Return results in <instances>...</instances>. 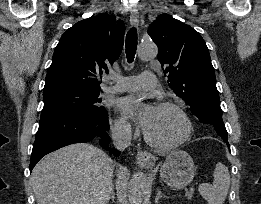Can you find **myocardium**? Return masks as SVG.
<instances>
[{
	"mask_svg": "<svg viewBox=\"0 0 261 204\" xmlns=\"http://www.w3.org/2000/svg\"><path fill=\"white\" fill-rule=\"evenodd\" d=\"M155 107L171 108V109L175 110L182 118V120L184 122L185 130H184V133L181 138H179L177 141L171 142V143H160V142L154 140L147 133V131L144 130L143 134H144L145 141L149 145H151L157 149H161V150H171V149H175V148L183 145L190 138L191 133H192V122H191L188 114L186 113V111L183 109L182 106H180L179 104H177L173 101H159L155 104Z\"/></svg>",
	"mask_w": 261,
	"mask_h": 204,
	"instance_id": "1",
	"label": "myocardium"
}]
</instances>
